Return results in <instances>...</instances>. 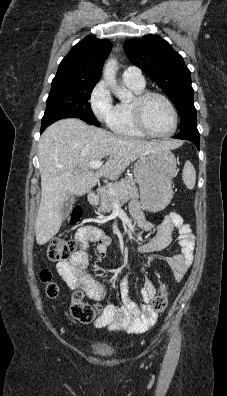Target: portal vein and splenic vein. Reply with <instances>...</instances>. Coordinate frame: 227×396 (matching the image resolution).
I'll use <instances>...</instances> for the list:
<instances>
[{
    "label": "portal vein and splenic vein",
    "mask_w": 227,
    "mask_h": 396,
    "mask_svg": "<svg viewBox=\"0 0 227 396\" xmlns=\"http://www.w3.org/2000/svg\"><path fill=\"white\" fill-rule=\"evenodd\" d=\"M101 166H102V162H101V161H94V162H91V163L87 166V168L99 169ZM110 192H111V193H115L116 191L113 190V189H111Z\"/></svg>",
    "instance_id": "portal-vein-and-splenic-vein-1"
}]
</instances>
